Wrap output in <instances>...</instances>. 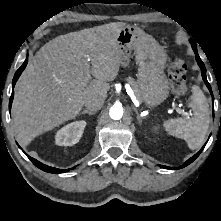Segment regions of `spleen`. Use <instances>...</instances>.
Returning <instances> with one entry per match:
<instances>
[{"instance_id": "obj_1", "label": "spleen", "mask_w": 221, "mask_h": 221, "mask_svg": "<svg viewBox=\"0 0 221 221\" xmlns=\"http://www.w3.org/2000/svg\"><path fill=\"white\" fill-rule=\"evenodd\" d=\"M192 92L188 107L192 109L193 116L166 120L163 127L168 134L184 139L188 147L195 150L205 140L210 123V110L200 88L193 86Z\"/></svg>"}]
</instances>
